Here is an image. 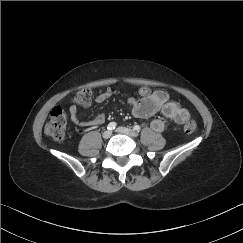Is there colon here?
Segmentation results:
<instances>
[{"instance_id": "5ec220e1", "label": "colon", "mask_w": 243, "mask_h": 243, "mask_svg": "<svg viewBox=\"0 0 243 243\" xmlns=\"http://www.w3.org/2000/svg\"><path fill=\"white\" fill-rule=\"evenodd\" d=\"M73 101L79 105H88L91 101V92L87 88L80 89L73 98ZM184 132L191 134L196 131L197 124L193 120H188L184 124ZM45 133L55 140H62L66 136L67 118L63 109L55 107L51 113L49 120L44 127Z\"/></svg>"}]
</instances>
